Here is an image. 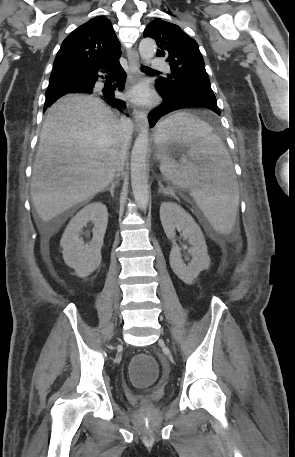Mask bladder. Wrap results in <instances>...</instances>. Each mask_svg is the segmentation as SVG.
<instances>
[{
	"instance_id": "bladder-1",
	"label": "bladder",
	"mask_w": 295,
	"mask_h": 457,
	"mask_svg": "<svg viewBox=\"0 0 295 457\" xmlns=\"http://www.w3.org/2000/svg\"><path fill=\"white\" fill-rule=\"evenodd\" d=\"M161 357L163 358L164 356L162 355ZM154 407L155 406L152 400H146L140 404V409L142 411H153Z\"/></svg>"
}]
</instances>
